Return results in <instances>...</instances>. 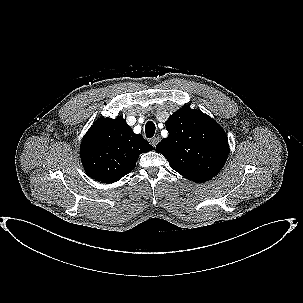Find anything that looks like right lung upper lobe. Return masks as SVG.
<instances>
[{
	"mask_svg": "<svg viewBox=\"0 0 303 303\" xmlns=\"http://www.w3.org/2000/svg\"><path fill=\"white\" fill-rule=\"evenodd\" d=\"M150 150L153 146L118 116L97 119L83 138L80 154L91 178L113 183L130 173L139 155Z\"/></svg>",
	"mask_w": 303,
	"mask_h": 303,
	"instance_id": "obj_1",
	"label": "right lung upper lobe"
}]
</instances>
